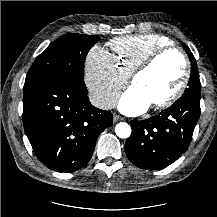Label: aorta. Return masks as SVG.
<instances>
[{"mask_svg":"<svg viewBox=\"0 0 217 217\" xmlns=\"http://www.w3.org/2000/svg\"><path fill=\"white\" fill-rule=\"evenodd\" d=\"M115 133L119 138L126 139L131 135V127L125 122H120L115 127Z\"/></svg>","mask_w":217,"mask_h":217,"instance_id":"762f6f07","label":"aorta"}]
</instances>
